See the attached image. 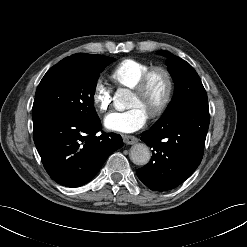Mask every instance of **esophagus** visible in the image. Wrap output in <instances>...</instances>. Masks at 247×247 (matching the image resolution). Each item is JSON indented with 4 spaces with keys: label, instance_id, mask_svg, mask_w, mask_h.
I'll return each instance as SVG.
<instances>
[{
    "label": "esophagus",
    "instance_id": "esophagus-1",
    "mask_svg": "<svg viewBox=\"0 0 247 247\" xmlns=\"http://www.w3.org/2000/svg\"><path fill=\"white\" fill-rule=\"evenodd\" d=\"M122 137H123L124 143L129 144V145L134 144L138 141V139L132 135H123Z\"/></svg>",
    "mask_w": 247,
    "mask_h": 247
}]
</instances>
